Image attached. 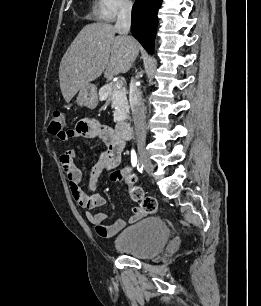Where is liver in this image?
Segmentation results:
<instances>
[{"label":"liver","instance_id":"liver-1","mask_svg":"<svg viewBox=\"0 0 261 306\" xmlns=\"http://www.w3.org/2000/svg\"><path fill=\"white\" fill-rule=\"evenodd\" d=\"M116 33L111 24L100 22L86 25L78 33L59 67L60 89L67 103L102 73L111 79L130 69L140 46L134 38Z\"/></svg>","mask_w":261,"mask_h":306}]
</instances>
